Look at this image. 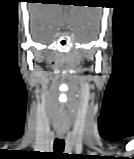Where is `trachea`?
I'll return each instance as SVG.
<instances>
[{"label": "trachea", "instance_id": "trachea-1", "mask_svg": "<svg viewBox=\"0 0 134 159\" xmlns=\"http://www.w3.org/2000/svg\"><path fill=\"white\" fill-rule=\"evenodd\" d=\"M65 142L63 139L56 138L54 141V151L58 154L64 150Z\"/></svg>", "mask_w": 134, "mask_h": 159}]
</instances>
